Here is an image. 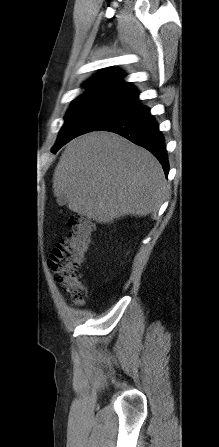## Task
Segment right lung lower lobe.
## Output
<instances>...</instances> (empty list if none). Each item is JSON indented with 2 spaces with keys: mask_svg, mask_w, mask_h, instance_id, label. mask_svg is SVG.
I'll return each mask as SVG.
<instances>
[{
  "mask_svg": "<svg viewBox=\"0 0 219 447\" xmlns=\"http://www.w3.org/2000/svg\"><path fill=\"white\" fill-rule=\"evenodd\" d=\"M99 130L115 132L146 148L162 164L165 175L168 176L169 163L165 140L149 108L140 105L133 111L105 123L96 131Z\"/></svg>",
  "mask_w": 219,
  "mask_h": 447,
  "instance_id": "obj_1",
  "label": "right lung lower lobe"
}]
</instances>
